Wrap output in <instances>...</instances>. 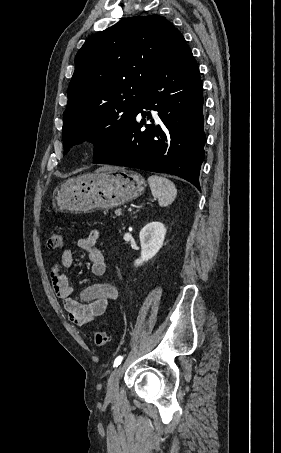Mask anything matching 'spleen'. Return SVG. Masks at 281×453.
I'll use <instances>...</instances> for the list:
<instances>
[{"instance_id": "1", "label": "spleen", "mask_w": 281, "mask_h": 453, "mask_svg": "<svg viewBox=\"0 0 281 453\" xmlns=\"http://www.w3.org/2000/svg\"><path fill=\"white\" fill-rule=\"evenodd\" d=\"M151 192L155 198H158L160 206H168L176 198L177 188L174 182L163 178V176H149L148 178Z\"/></svg>"}]
</instances>
